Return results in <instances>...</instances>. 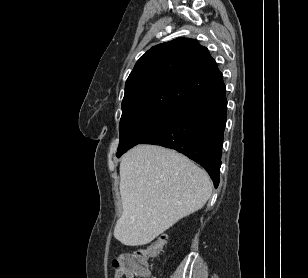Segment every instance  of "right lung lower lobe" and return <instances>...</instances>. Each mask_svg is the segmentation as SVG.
Here are the masks:
<instances>
[{
    "label": "right lung lower lobe",
    "mask_w": 308,
    "mask_h": 278,
    "mask_svg": "<svg viewBox=\"0 0 308 278\" xmlns=\"http://www.w3.org/2000/svg\"><path fill=\"white\" fill-rule=\"evenodd\" d=\"M226 119L224 85L182 107L167 125L141 144L161 145L183 153L202 165L217 187Z\"/></svg>",
    "instance_id": "98d812e1"
}]
</instances>
